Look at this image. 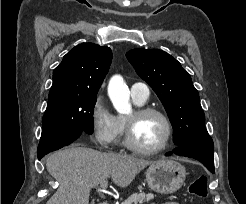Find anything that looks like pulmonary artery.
Listing matches in <instances>:
<instances>
[{
	"label": "pulmonary artery",
	"instance_id": "obj_1",
	"mask_svg": "<svg viewBox=\"0 0 246 204\" xmlns=\"http://www.w3.org/2000/svg\"><path fill=\"white\" fill-rule=\"evenodd\" d=\"M150 95L149 87L142 82L134 83L131 86V96L138 103H145Z\"/></svg>",
	"mask_w": 246,
	"mask_h": 204
}]
</instances>
